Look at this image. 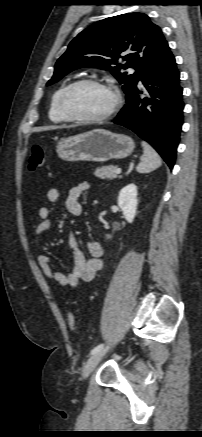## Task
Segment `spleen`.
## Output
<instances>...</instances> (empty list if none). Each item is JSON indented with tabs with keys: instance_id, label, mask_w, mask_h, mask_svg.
Returning a JSON list of instances; mask_svg holds the SVG:
<instances>
[{
	"instance_id": "spleen-1",
	"label": "spleen",
	"mask_w": 202,
	"mask_h": 437,
	"mask_svg": "<svg viewBox=\"0 0 202 437\" xmlns=\"http://www.w3.org/2000/svg\"><path fill=\"white\" fill-rule=\"evenodd\" d=\"M143 155L136 167L139 173H149L161 166V158L158 153L145 141L142 142Z\"/></svg>"
}]
</instances>
